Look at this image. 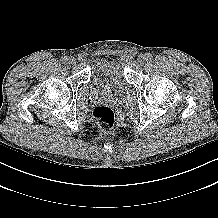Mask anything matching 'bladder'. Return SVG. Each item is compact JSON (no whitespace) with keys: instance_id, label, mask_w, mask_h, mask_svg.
<instances>
[{"instance_id":"31cf9c89","label":"bladder","mask_w":218,"mask_h":218,"mask_svg":"<svg viewBox=\"0 0 218 218\" xmlns=\"http://www.w3.org/2000/svg\"><path fill=\"white\" fill-rule=\"evenodd\" d=\"M90 80L100 90L114 89L122 92L128 87L123 64L119 59L108 56L93 58L90 63Z\"/></svg>"}]
</instances>
